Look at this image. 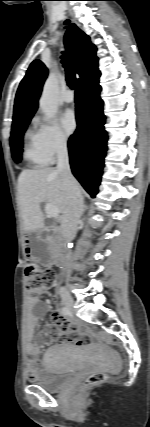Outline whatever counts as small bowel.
<instances>
[{
	"instance_id": "obj_1",
	"label": "small bowel",
	"mask_w": 150,
	"mask_h": 427,
	"mask_svg": "<svg viewBox=\"0 0 150 427\" xmlns=\"http://www.w3.org/2000/svg\"><path fill=\"white\" fill-rule=\"evenodd\" d=\"M48 305L49 300H40L37 298L28 300L26 352L30 356L27 362L28 378L30 379L44 377V374L40 373L35 367V358L39 356L43 345L42 334L36 333V323L48 311ZM50 317L55 322V326L50 330V336L52 338L70 337V341L78 345H83L88 342L87 338L81 336L77 326L65 320L56 310L51 312Z\"/></svg>"
}]
</instances>
